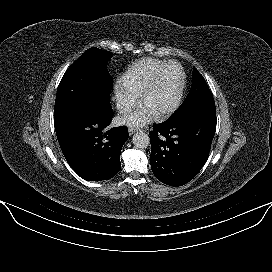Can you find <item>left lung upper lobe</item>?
<instances>
[{
	"label": "left lung upper lobe",
	"mask_w": 272,
	"mask_h": 272,
	"mask_svg": "<svg viewBox=\"0 0 272 272\" xmlns=\"http://www.w3.org/2000/svg\"><path fill=\"white\" fill-rule=\"evenodd\" d=\"M211 108H215V102L211 91L203 76L194 67L190 92L182 105L176 110L171 118L194 111H204Z\"/></svg>",
	"instance_id": "obj_1"
}]
</instances>
